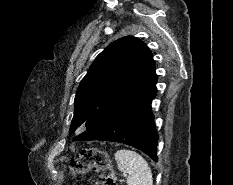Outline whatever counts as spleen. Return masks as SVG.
Masks as SVG:
<instances>
[{
    "instance_id": "3e777b00",
    "label": "spleen",
    "mask_w": 233,
    "mask_h": 185,
    "mask_svg": "<svg viewBox=\"0 0 233 185\" xmlns=\"http://www.w3.org/2000/svg\"><path fill=\"white\" fill-rule=\"evenodd\" d=\"M118 169L128 174V185H153L152 171L137 152L121 149L114 154Z\"/></svg>"
}]
</instances>
